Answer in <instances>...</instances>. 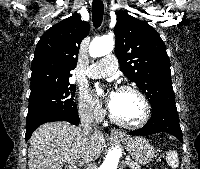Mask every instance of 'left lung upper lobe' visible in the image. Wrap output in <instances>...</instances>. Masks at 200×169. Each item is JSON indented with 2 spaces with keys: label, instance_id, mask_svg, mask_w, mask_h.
<instances>
[{
  "label": "left lung upper lobe",
  "instance_id": "5c2ea615",
  "mask_svg": "<svg viewBox=\"0 0 200 169\" xmlns=\"http://www.w3.org/2000/svg\"><path fill=\"white\" fill-rule=\"evenodd\" d=\"M115 54L124 75L148 97L151 107L175 103L166 47L148 23L117 12Z\"/></svg>",
  "mask_w": 200,
  "mask_h": 169
}]
</instances>
